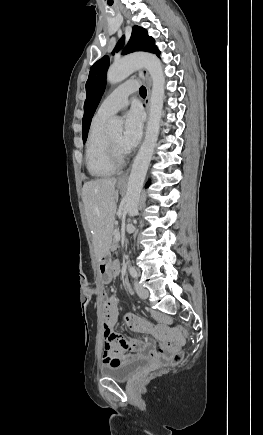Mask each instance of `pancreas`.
Returning <instances> with one entry per match:
<instances>
[{
  "label": "pancreas",
  "mask_w": 263,
  "mask_h": 435,
  "mask_svg": "<svg viewBox=\"0 0 263 435\" xmlns=\"http://www.w3.org/2000/svg\"><path fill=\"white\" fill-rule=\"evenodd\" d=\"M118 230L117 229H115L114 230V232H113V236H114V243H116V239H115V234H116V232H117Z\"/></svg>",
  "instance_id": "pancreas-1"
}]
</instances>
